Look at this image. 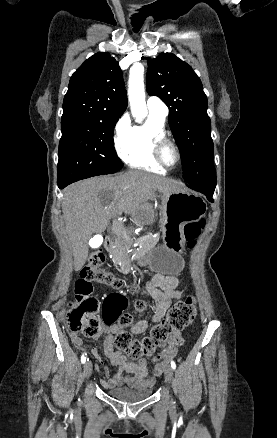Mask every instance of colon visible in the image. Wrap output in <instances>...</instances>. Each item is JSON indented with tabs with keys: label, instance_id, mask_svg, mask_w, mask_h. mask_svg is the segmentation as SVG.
Instances as JSON below:
<instances>
[{
	"label": "colon",
	"instance_id": "colon-1",
	"mask_svg": "<svg viewBox=\"0 0 277 438\" xmlns=\"http://www.w3.org/2000/svg\"><path fill=\"white\" fill-rule=\"evenodd\" d=\"M204 225L205 220L201 219L184 226V235L189 246H193ZM104 262L105 254L103 249H94L88 258L86 266L81 271L75 291L76 300L79 305H72L68 311L70 328L75 331H81L87 336H96L105 332L100 305L96 296L90 295L91 284L97 283L108 287H112L115 284H119L122 287L124 285L123 280L119 276L104 267ZM138 290V286H133L134 292H138ZM148 307V303L144 300H138L135 303L137 311L147 310ZM196 310V301L193 298L187 297L180 300L167 311L164 320L150 328L147 335L133 337L130 332L125 330L116 332L113 336L115 346L127 353L132 359L146 356L153 357L155 362H159L163 357L161 354L155 355V351L165 348L171 336H175V343L181 345L183 338L176 332L183 330L194 320ZM118 316L120 326L126 327L131 324L132 312H125Z\"/></svg>",
	"mask_w": 277,
	"mask_h": 438
}]
</instances>
